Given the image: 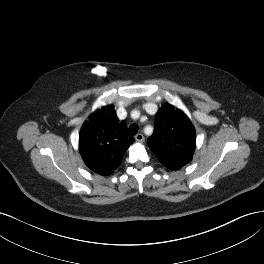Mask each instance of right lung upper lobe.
<instances>
[{
    "instance_id": "right-lung-upper-lobe-1",
    "label": "right lung upper lobe",
    "mask_w": 264,
    "mask_h": 264,
    "mask_svg": "<svg viewBox=\"0 0 264 264\" xmlns=\"http://www.w3.org/2000/svg\"><path fill=\"white\" fill-rule=\"evenodd\" d=\"M124 121H119L112 105L94 112L83 125L79 136L80 154L93 172L110 175L118 168L133 142Z\"/></svg>"
}]
</instances>
